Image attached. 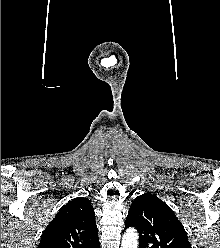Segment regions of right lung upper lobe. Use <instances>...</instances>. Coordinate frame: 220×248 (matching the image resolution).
<instances>
[{
	"label": "right lung upper lobe",
	"mask_w": 220,
	"mask_h": 248,
	"mask_svg": "<svg viewBox=\"0 0 220 248\" xmlns=\"http://www.w3.org/2000/svg\"><path fill=\"white\" fill-rule=\"evenodd\" d=\"M99 244L91 202L77 197L64 205L46 227L38 248H95Z\"/></svg>",
	"instance_id": "cb5924a9"
}]
</instances>
